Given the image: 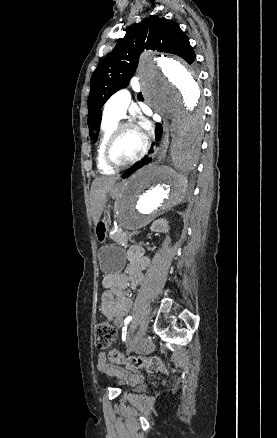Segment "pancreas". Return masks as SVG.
Masks as SVG:
<instances>
[{
  "mask_svg": "<svg viewBox=\"0 0 277 438\" xmlns=\"http://www.w3.org/2000/svg\"><path fill=\"white\" fill-rule=\"evenodd\" d=\"M111 238H116V241H118L119 244H126L127 243V236H126V230L124 228H117L115 230V233H111Z\"/></svg>",
  "mask_w": 277,
  "mask_h": 438,
  "instance_id": "obj_1",
  "label": "pancreas"
}]
</instances>
